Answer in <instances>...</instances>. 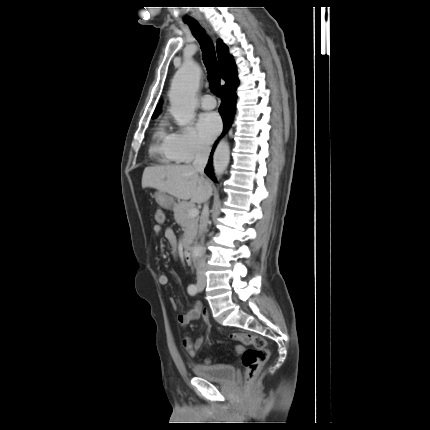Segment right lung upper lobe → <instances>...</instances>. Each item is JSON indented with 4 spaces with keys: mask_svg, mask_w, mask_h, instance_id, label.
<instances>
[{
    "mask_svg": "<svg viewBox=\"0 0 430 430\" xmlns=\"http://www.w3.org/2000/svg\"><path fill=\"white\" fill-rule=\"evenodd\" d=\"M218 62L221 68L222 79L226 82L222 90L238 84L237 70L233 58L229 55L228 47L221 40L217 42ZM161 111V102L158 104L152 117H156Z\"/></svg>",
    "mask_w": 430,
    "mask_h": 430,
    "instance_id": "obj_1",
    "label": "right lung upper lobe"
}]
</instances>
